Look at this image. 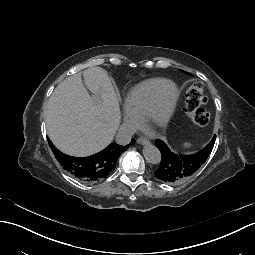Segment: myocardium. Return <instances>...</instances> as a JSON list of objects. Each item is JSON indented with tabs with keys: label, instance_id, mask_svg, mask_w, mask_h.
Returning a JSON list of instances; mask_svg holds the SVG:
<instances>
[{
	"label": "myocardium",
	"instance_id": "f54148a6",
	"mask_svg": "<svg viewBox=\"0 0 255 255\" xmlns=\"http://www.w3.org/2000/svg\"><path fill=\"white\" fill-rule=\"evenodd\" d=\"M170 88V96L165 102L166 89ZM179 89L172 81H165L158 89L150 109L141 117L139 126L149 134H159L172 120L178 100Z\"/></svg>",
	"mask_w": 255,
	"mask_h": 255
}]
</instances>
